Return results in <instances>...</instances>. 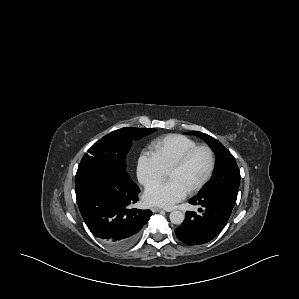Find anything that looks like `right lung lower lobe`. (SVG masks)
<instances>
[{
  "label": "right lung lower lobe",
  "mask_w": 299,
  "mask_h": 299,
  "mask_svg": "<svg viewBox=\"0 0 299 299\" xmlns=\"http://www.w3.org/2000/svg\"><path fill=\"white\" fill-rule=\"evenodd\" d=\"M75 192L87 227L113 250L130 248L152 215L150 210L133 207L138 201L139 187L104 165L78 168Z\"/></svg>",
  "instance_id": "98d812e1"
}]
</instances>
